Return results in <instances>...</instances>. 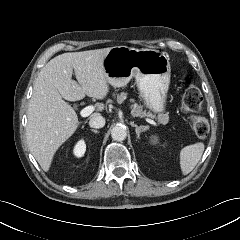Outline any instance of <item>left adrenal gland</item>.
I'll return each instance as SVG.
<instances>
[{
    "label": "left adrenal gland",
    "mask_w": 240,
    "mask_h": 240,
    "mask_svg": "<svg viewBox=\"0 0 240 240\" xmlns=\"http://www.w3.org/2000/svg\"><path fill=\"white\" fill-rule=\"evenodd\" d=\"M130 124L132 127H135V132H136L137 138H140L141 132H145L148 129L147 126H143V125L138 126V125L134 124V122H131Z\"/></svg>",
    "instance_id": "1"
}]
</instances>
